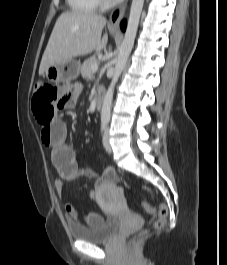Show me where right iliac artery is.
I'll return each mask as SVG.
<instances>
[{"instance_id":"82829eb1","label":"right iliac artery","mask_w":227,"mask_h":265,"mask_svg":"<svg viewBox=\"0 0 227 265\" xmlns=\"http://www.w3.org/2000/svg\"><path fill=\"white\" fill-rule=\"evenodd\" d=\"M105 128H106V123H102V125H101V130H102V131H105Z\"/></svg>"}]
</instances>
